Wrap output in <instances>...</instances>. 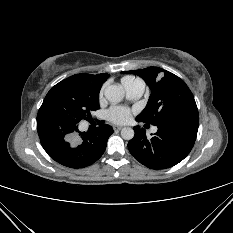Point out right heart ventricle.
Masks as SVG:
<instances>
[{
  "instance_id": "e07e8e85",
  "label": "right heart ventricle",
  "mask_w": 233,
  "mask_h": 233,
  "mask_svg": "<svg viewBox=\"0 0 233 233\" xmlns=\"http://www.w3.org/2000/svg\"><path fill=\"white\" fill-rule=\"evenodd\" d=\"M121 83L124 86V88H126L128 86L143 82L139 78L133 76H125L121 79Z\"/></svg>"
}]
</instances>
